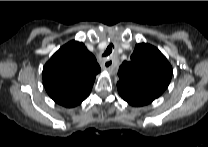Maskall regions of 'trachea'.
Wrapping results in <instances>:
<instances>
[{
  "instance_id": "1",
  "label": "trachea",
  "mask_w": 208,
  "mask_h": 147,
  "mask_svg": "<svg viewBox=\"0 0 208 147\" xmlns=\"http://www.w3.org/2000/svg\"><path fill=\"white\" fill-rule=\"evenodd\" d=\"M112 52V47L111 46H108L105 53L103 54V57H106L108 56V54H110Z\"/></svg>"
}]
</instances>
